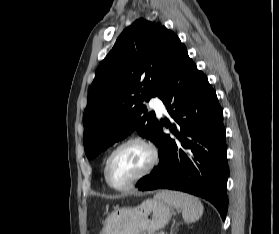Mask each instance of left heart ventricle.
<instances>
[{
	"label": "left heart ventricle",
	"instance_id": "obj_1",
	"mask_svg": "<svg viewBox=\"0 0 279 234\" xmlns=\"http://www.w3.org/2000/svg\"><path fill=\"white\" fill-rule=\"evenodd\" d=\"M148 150L140 144L122 148L112 159L109 176L116 185H122L140 174L149 162Z\"/></svg>",
	"mask_w": 279,
	"mask_h": 234
}]
</instances>
